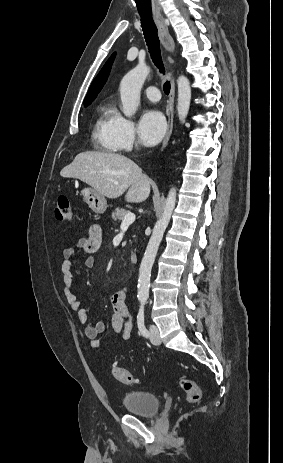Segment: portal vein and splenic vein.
Listing matches in <instances>:
<instances>
[{
    "label": "portal vein and splenic vein",
    "instance_id": "18ae733b",
    "mask_svg": "<svg viewBox=\"0 0 283 463\" xmlns=\"http://www.w3.org/2000/svg\"><path fill=\"white\" fill-rule=\"evenodd\" d=\"M135 214L134 213H131L129 212L125 217L124 219L122 220V224L121 225H128V224H131L135 221Z\"/></svg>",
    "mask_w": 283,
    "mask_h": 463
}]
</instances>
